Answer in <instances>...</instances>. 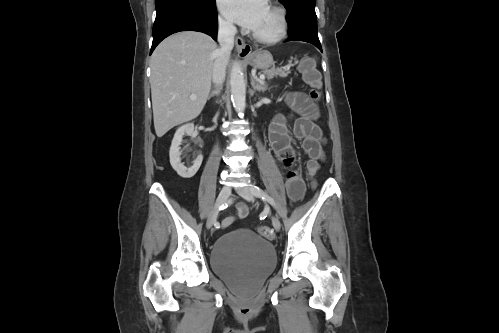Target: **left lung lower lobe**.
<instances>
[{
	"mask_svg": "<svg viewBox=\"0 0 499 333\" xmlns=\"http://www.w3.org/2000/svg\"><path fill=\"white\" fill-rule=\"evenodd\" d=\"M286 20L289 23V37L286 41H304L315 45L322 51L317 34L315 6L295 5L287 9Z\"/></svg>",
	"mask_w": 499,
	"mask_h": 333,
	"instance_id": "left-lung-lower-lobe-1",
	"label": "left lung lower lobe"
}]
</instances>
